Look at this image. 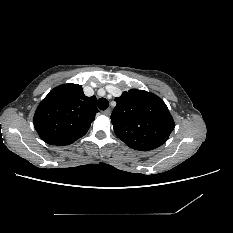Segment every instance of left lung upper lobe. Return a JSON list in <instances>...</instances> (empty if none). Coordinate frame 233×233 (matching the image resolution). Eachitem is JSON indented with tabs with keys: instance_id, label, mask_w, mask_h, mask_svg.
<instances>
[{
	"instance_id": "obj_1",
	"label": "left lung upper lobe",
	"mask_w": 233,
	"mask_h": 233,
	"mask_svg": "<svg viewBox=\"0 0 233 233\" xmlns=\"http://www.w3.org/2000/svg\"><path fill=\"white\" fill-rule=\"evenodd\" d=\"M111 121L116 136L130 148L153 150L164 144L175 124L162 99L153 93L131 89L115 98Z\"/></svg>"
}]
</instances>
